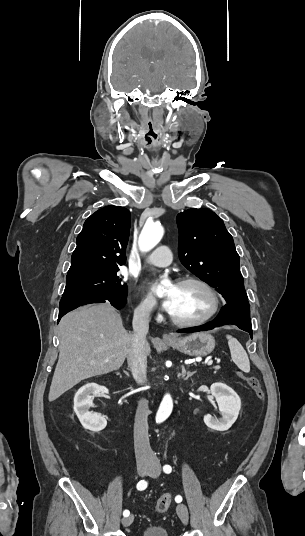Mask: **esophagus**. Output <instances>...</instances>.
Instances as JSON below:
<instances>
[{"instance_id":"34e87169","label":"esophagus","mask_w":305,"mask_h":536,"mask_svg":"<svg viewBox=\"0 0 305 536\" xmlns=\"http://www.w3.org/2000/svg\"><path fill=\"white\" fill-rule=\"evenodd\" d=\"M162 339H163L164 342L172 341V337L170 335H168V334H164Z\"/></svg>"}]
</instances>
